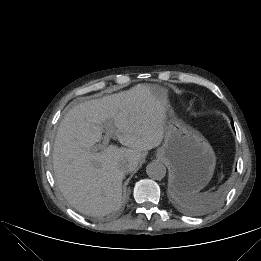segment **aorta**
I'll return each mask as SVG.
<instances>
[{
  "mask_svg": "<svg viewBox=\"0 0 261 261\" xmlns=\"http://www.w3.org/2000/svg\"><path fill=\"white\" fill-rule=\"evenodd\" d=\"M146 173L153 180H161L166 175V167L160 162L153 161L147 165Z\"/></svg>",
  "mask_w": 261,
  "mask_h": 261,
  "instance_id": "1",
  "label": "aorta"
}]
</instances>
